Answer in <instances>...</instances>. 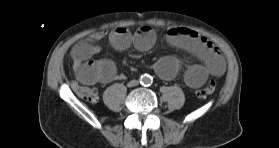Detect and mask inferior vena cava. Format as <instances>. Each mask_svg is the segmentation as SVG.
I'll list each match as a JSON object with an SVG mask.
<instances>
[{"label":"inferior vena cava","mask_w":279,"mask_h":148,"mask_svg":"<svg viewBox=\"0 0 279 148\" xmlns=\"http://www.w3.org/2000/svg\"><path fill=\"white\" fill-rule=\"evenodd\" d=\"M136 85H138V81L137 80H132V81H130L129 82V86H136Z\"/></svg>","instance_id":"obj_1"}]
</instances>
